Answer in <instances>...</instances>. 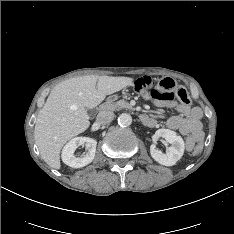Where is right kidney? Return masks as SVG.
Listing matches in <instances>:
<instances>
[{
  "mask_svg": "<svg viewBox=\"0 0 234 234\" xmlns=\"http://www.w3.org/2000/svg\"><path fill=\"white\" fill-rule=\"evenodd\" d=\"M86 145L87 152L83 157H76L75 150L80 145ZM97 142L89 137H75L71 139L62 150V161L72 167L81 168L92 162L96 153Z\"/></svg>",
  "mask_w": 234,
  "mask_h": 234,
  "instance_id": "right-kidney-1",
  "label": "right kidney"
}]
</instances>
